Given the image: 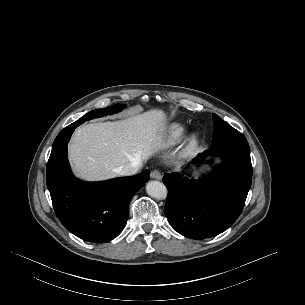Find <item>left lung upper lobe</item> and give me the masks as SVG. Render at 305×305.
<instances>
[{
	"label": "left lung upper lobe",
	"mask_w": 305,
	"mask_h": 305,
	"mask_svg": "<svg viewBox=\"0 0 305 305\" xmlns=\"http://www.w3.org/2000/svg\"><path fill=\"white\" fill-rule=\"evenodd\" d=\"M214 131L211 148L239 147L249 149L246 138L235 128L213 114Z\"/></svg>",
	"instance_id": "5c2ea615"
}]
</instances>
